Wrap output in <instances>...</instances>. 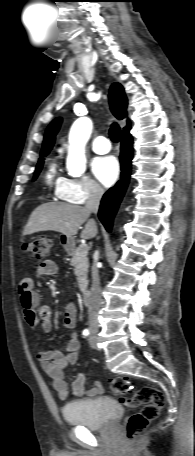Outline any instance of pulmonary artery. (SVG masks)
<instances>
[{"label": "pulmonary artery", "instance_id": "e3ab8cb5", "mask_svg": "<svg viewBox=\"0 0 195 456\" xmlns=\"http://www.w3.org/2000/svg\"><path fill=\"white\" fill-rule=\"evenodd\" d=\"M111 144L104 136H99L92 142V150L97 154H106L110 151Z\"/></svg>", "mask_w": 195, "mask_h": 456}]
</instances>
